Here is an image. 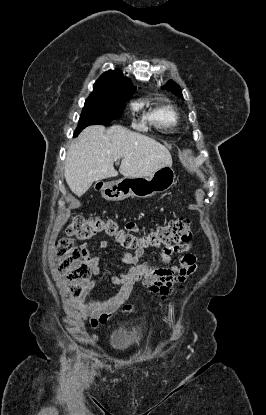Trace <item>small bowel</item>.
Wrapping results in <instances>:
<instances>
[{
  "mask_svg": "<svg viewBox=\"0 0 266 415\" xmlns=\"http://www.w3.org/2000/svg\"><path fill=\"white\" fill-rule=\"evenodd\" d=\"M126 229L136 231V224L129 222ZM109 246L106 240L100 241V248L107 249ZM191 242L182 244L164 246L158 249L159 262L144 263L141 258L144 255V248L139 247L134 254H123L119 262L127 265L128 269L119 275H111L106 280L121 288L117 294L104 301H96L92 298L91 291L96 284L95 279H87L82 283L81 291L74 295V306L82 318L89 321L93 327H98L106 323L111 316L117 312H130L133 310L131 305L127 304L133 285L141 282L153 293L159 294L161 300H165L175 291L176 286L184 283L187 278L193 274L197 267L198 261L195 255L190 253L192 249ZM81 249L86 253L85 245ZM184 253L176 265H171V258L174 254ZM93 272L100 276L98 268L100 259L98 256L88 258Z\"/></svg>",
  "mask_w": 266,
  "mask_h": 415,
  "instance_id": "obj_1",
  "label": "small bowel"
}]
</instances>
